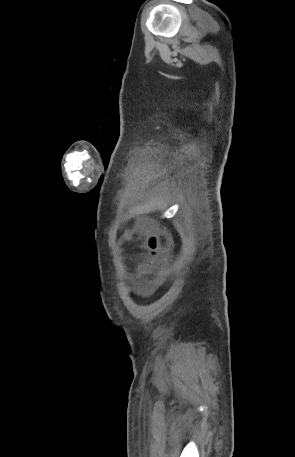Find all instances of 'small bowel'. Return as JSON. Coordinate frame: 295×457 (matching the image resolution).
Segmentation results:
<instances>
[{
  "instance_id": "1",
  "label": "small bowel",
  "mask_w": 295,
  "mask_h": 457,
  "mask_svg": "<svg viewBox=\"0 0 295 457\" xmlns=\"http://www.w3.org/2000/svg\"><path fill=\"white\" fill-rule=\"evenodd\" d=\"M124 238H125V240H130L131 236L129 234H126Z\"/></svg>"
}]
</instances>
